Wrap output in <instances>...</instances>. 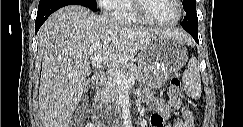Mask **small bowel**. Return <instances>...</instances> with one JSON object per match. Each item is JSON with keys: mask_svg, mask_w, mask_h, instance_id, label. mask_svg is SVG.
<instances>
[{"mask_svg": "<svg viewBox=\"0 0 243 127\" xmlns=\"http://www.w3.org/2000/svg\"><path fill=\"white\" fill-rule=\"evenodd\" d=\"M146 101L154 110L149 121L150 127H163L167 122L173 127L194 126L193 113L183 105L181 97L171 96L168 102H165L146 94ZM174 111H177L178 115H175Z\"/></svg>", "mask_w": 243, "mask_h": 127, "instance_id": "c3829d8e", "label": "small bowel"}]
</instances>
